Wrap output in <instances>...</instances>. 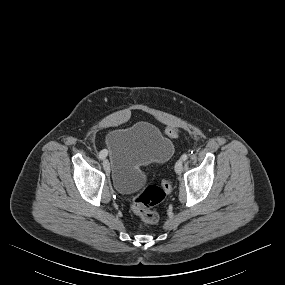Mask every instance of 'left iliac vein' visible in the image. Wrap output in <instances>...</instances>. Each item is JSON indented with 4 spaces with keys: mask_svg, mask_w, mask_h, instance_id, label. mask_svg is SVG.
Segmentation results:
<instances>
[{
    "mask_svg": "<svg viewBox=\"0 0 285 285\" xmlns=\"http://www.w3.org/2000/svg\"><path fill=\"white\" fill-rule=\"evenodd\" d=\"M183 170V160L179 159L175 164V172L180 174Z\"/></svg>",
    "mask_w": 285,
    "mask_h": 285,
    "instance_id": "1",
    "label": "left iliac vein"
}]
</instances>
